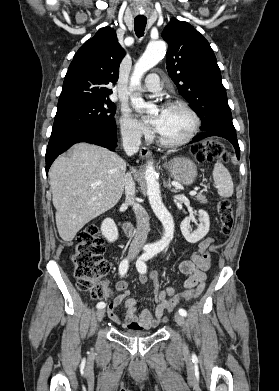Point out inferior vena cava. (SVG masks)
I'll return each mask as SVG.
<instances>
[{"mask_svg": "<svg viewBox=\"0 0 279 391\" xmlns=\"http://www.w3.org/2000/svg\"><path fill=\"white\" fill-rule=\"evenodd\" d=\"M123 147L128 156L138 152L141 144V133L136 129H127L122 131ZM126 203L133 206L136 215L137 227L134 238L131 242L129 253H139L141 247L144 245L149 232V216L146 210L135 202V182L130 173L124 177Z\"/></svg>", "mask_w": 279, "mask_h": 391, "instance_id": "obj_1", "label": "inferior vena cava"}]
</instances>
